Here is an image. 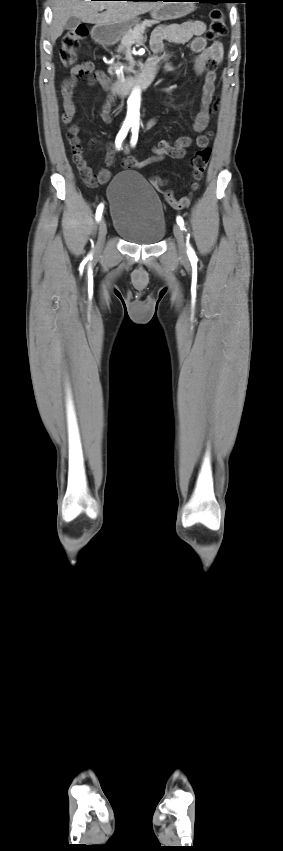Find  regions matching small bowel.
Returning <instances> with one entry per match:
<instances>
[{
    "mask_svg": "<svg viewBox=\"0 0 283 851\" xmlns=\"http://www.w3.org/2000/svg\"><path fill=\"white\" fill-rule=\"evenodd\" d=\"M204 32V22L200 20H186L181 23H170L158 26L154 30L151 39V47L155 53V56L152 58L157 61H159L165 54L166 41H172L179 44L189 43L191 51L197 54L193 59L195 70L199 75L205 74L202 88L201 109L196 114L193 124V129L197 133L205 130L209 123L210 116L214 111L212 102L215 92V70L217 69V63L221 62L223 58L222 44L220 42H215L212 45L207 46L206 39L203 36ZM84 75L93 76L89 79L90 85H95L97 81L103 88H107L108 96L101 107V118L104 122L110 123L114 96L116 95L117 90L113 86L109 87L110 84L106 81L104 73L95 70L94 64L90 61H85L75 65L71 69V77L66 80L62 86L63 106L65 110L62 116V122L64 124H69L75 118L77 109L73 101V92L77 86L78 79ZM156 123L157 119H152L146 124L145 128L150 129ZM78 133L79 127L77 125H72L67 130V140L71 145L73 161L80 171L84 181L91 186L107 183L110 178V171L107 168H101L97 174H93L92 169L84 158V150ZM209 140V135L205 134H200L196 138L182 136L177 138L174 142L161 140L153 146V156L145 160L138 161L134 156L126 154L121 165L124 168H141L161 161L166 157L180 159L185 156L188 148L192 145L205 147L208 145ZM105 163L108 167L114 164L113 153H107Z\"/></svg>",
    "mask_w": 283,
    "mask_h": 851,
    "instance_id": "c3829d8e",
    "label": "small bowel"
}]
</instances>
